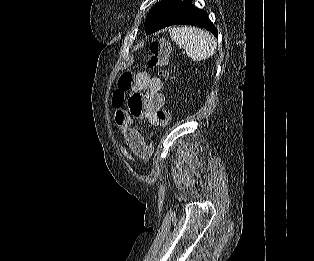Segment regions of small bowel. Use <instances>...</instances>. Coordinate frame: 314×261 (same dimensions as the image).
I'll list each match as a JSON object with an SVG mask.
<instances>
[{
    "instance_id": "small-bowel-1",
    "label": "small bowel",
    "mask_w": 314,
    "mask_h": 261,
    "mask_svg": "<svg viewBox=\"0 0 314 261\" xmlns=\"http://www.w3.org/2000/svg\"><path fill=\"white\" fill-rule=\"evenodd\" d=\"M163 83L151 76L146 71L136 75L132 93L127 101V109L123 108L124 100H117L113 97L112 103L116 108L115 122L119 127L125 143L142 161H148L153 153V146L148 144L138 127L136 120H145L151 126H159L158 111L163 107L165 98L162 93ZM129 161L133 158L124 153Z\"/></svg>"
}]
</instances>
